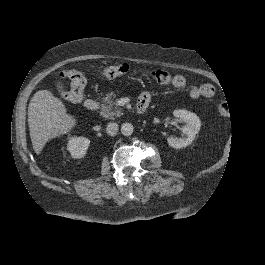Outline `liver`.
<instances>
[{
    "instance_id": "obj_1",
    "label": "liver",
    "mask_w": 265,
    "mask_h": 265,
    "mask_svg": "<svg viewBox=\"0 0 265 265\" xmlns=\"http://www.w3.org/2000/svg\"><path fill=\"white\" fill-rule=\"evenodd\" d=\"M32 147L39 156L45 145L62 136H70L80 120L70 113L62 99L49 90H41L33 97L28 111Z\"/></svg>"
}]
</instances>
